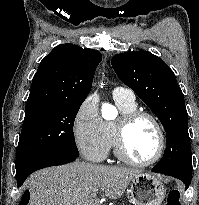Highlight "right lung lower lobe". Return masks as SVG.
I'll use <instances>...</instances> for the list:
<instances>
[{
    "mask_svg": "<svg viewBox=\"0 0 199 205\" xmlns=\"http://www.w3.org/2000/svg\"><path fill=\"white\" fill-rule=\"evenodd\" d=\"M75 159L76 158L64 157V156H49V157L37 160L29 164L28 166L24 167L20 171L16 172L17 185L20 187L24 183L26 178L36 170H39L45 167L66 164V163L74 161Z\"/></svg>",
    "mask_w": 199,
    "mask_h": 205,
    "instance_id": "1",
    "label": "right lung lower lobe"
}]
</instances>
